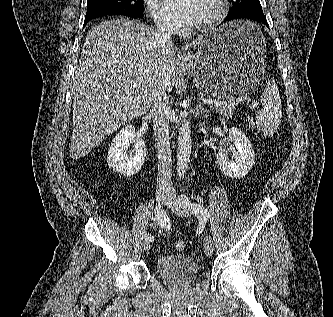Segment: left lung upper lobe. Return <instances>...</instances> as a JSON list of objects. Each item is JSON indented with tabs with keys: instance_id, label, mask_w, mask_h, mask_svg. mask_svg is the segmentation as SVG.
<instances>
[{
	"instance_id": "obj_1",
	"label": "left lung upper lobe",
	"mask_w": 333,
	"mask_h": 317,
	"mask_svg": "<svg viewBox=\"0 0 333 317\" xmlns=\"http://www.w3.org/2000/svg\"><path fill=\"white\" fill-rule=\"evenodd\" d=\"M231 2L230 15L249 10H262L259 0H231Z\"/></svg>"
}]
</instances>
